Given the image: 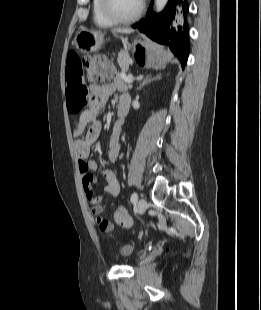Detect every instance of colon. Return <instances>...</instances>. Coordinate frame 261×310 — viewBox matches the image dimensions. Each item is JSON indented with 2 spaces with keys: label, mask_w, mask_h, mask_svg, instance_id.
Here are the masks:
<instances>
[{
  "label": "colon",
  "mask_w": 261,
  "mask_h": 310,
  "mask_svg": "<svg viewBox=\"0 0 261 310\" xmlns=\"http://www.w3.org/2000/svg\"><path fill=\"white\" fill-rule=\"evenodd\" d=\"M87 66V79L92 83H98L108 79L112 75V66L108 58L104 55H96L85 59ZM94 199L97 200L94 195ZM115 221L124 227L132 225V218L124 207H119L114 214ZM101 231H111V224L108 221H102L99 224Z\"/></svg>",
  "instance_id": "colon-1"
}]
</instances>
